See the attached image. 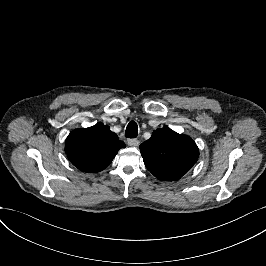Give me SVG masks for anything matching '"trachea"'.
Returning <instances> with one entry per match:
<instances>
[{"mask_svg": "<svg viewBox=\"0 0 266 266\" xmlns=\"http://www.w3.org/2000/svg\"><path fill=\"white\" fill-rule=\"evenodd\" d=\"M138 135V126L136 122L131 121L127 125L125 136L128 138H136Z\"/></svg>", "mask_w": 266, "mask_h": 266, "instance_id": "obj_1", "label": "trachea"}]
</instances>
